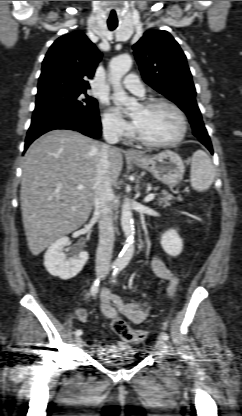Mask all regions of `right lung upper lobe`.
<instances>
[{"mask_svg": "<svg viewBox=\"0 0 242 416\" xmlns=\"http://www.w3.org/2000/svg\"><path fill=\"white\" fill-rule=\"evenodd\" d=\"M102 54L80 31L59 37L50 47L42 65L37 96L63 88L87 90Z\"/></svg>", "mask_w": 242, "mask_h": 416, "instance_id": "cb5924a9", "label": "right lung upper lobe"}]
</instances>
